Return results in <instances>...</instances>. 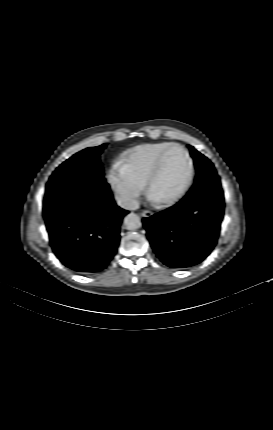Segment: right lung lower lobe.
I'll use <instances>...</instances> for the list:
<instances>
[{
    "mask_svg": "<svg viewBox=\"0 0 273 430\" xmlns=\"http://www.w3.org/2000/svg\"><path fill=\"white\" fill-rule=\"evenodd\" d=\"M127 213L115 204L110 190L77 192L43 207L55 255L85 275L104 270L114 257Z\"/></svg>",
    "mask_w": 273,
    "mask_h": 430,
    "instance_id": "obj_1",
    "label": "right lung lower lobe"
}]
</instances>
